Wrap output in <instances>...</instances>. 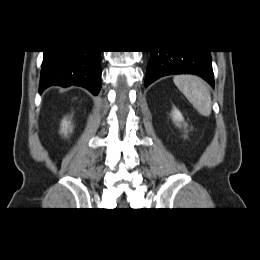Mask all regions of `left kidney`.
I'll return each instance as SVG.
<instances>
[{
	"label": "left kidney",
	"instance_id": "1",
	"mask_svg": "<svg viewBox=\"0 0 260 260\" xmlns=\"http://www.w3.org/2000/svg\"><path fill=\"white\" fill-rule=\"evenodd\" d=\"M172 118L173 121L177 124V126H180V123L184 120L183 115L176 108H174L172 111Z\"/></svg>",
	"mask_w": 260,
	"mask_h": 260
}]
</instances>
